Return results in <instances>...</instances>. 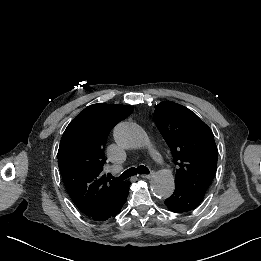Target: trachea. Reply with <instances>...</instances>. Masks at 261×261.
<instances>
[{
    "instance_id": "1",
    "label": "trachea",
    "mask_w": 261,
    "mask_h": 261,
    "mask_svg": "<svg viewBox=\"0 0 261 261\" xmlns=\"http://www.w3.org/2000/svg\"><path fill=\"white\" fill-rule=\"evenodd\" d=\"M137 173L139 174H149V169L143 165L137 166V167H131L128 170H126L119 178L118 180H125L131 176L136 175ZM110 177L112 178L111 174Z\"/></svg>"
}]
</instances>
